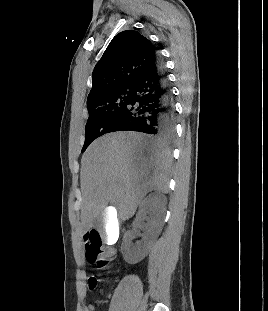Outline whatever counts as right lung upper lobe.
<instances>
[{
    "mask_svg": "<svg viewBox=\"0 0 268 311\" xmlns=\"http://www.w3.org/2000/svg\"><path fill=\"white\" fill-rule=\"evenodd\" d=\"M156 56V48L138 31L117 34L93 70L87 106L116 90L132 87L154 65Z\"/></svg>",
    "mask_w": 268,
    "mask_h": 311,
    "instance_id": "right-lung-upper-lobe-1",
    "label": "right lung upper lobe"
}]
</instances>
